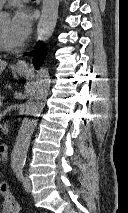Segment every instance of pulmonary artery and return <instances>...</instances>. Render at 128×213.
Returning <instances> with one entry per match:
<instances>
[{
	"label": "pulmonary artery",
	"mask_w": 128,
	"mask_h": 213,
	"mask_svg": "<svg viewBox=\"0 0 128 213\" xmlns=\"http://www.w3.org/2000/svg\"><path fill=\"white\" fill-rule=\"evenodd\" d=\"M5 0H0V8L2 7V5L4 4Z\"/></svg>",
	"instance_id": "obj_1"
}]
</instances>
